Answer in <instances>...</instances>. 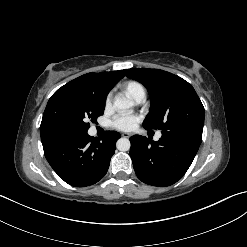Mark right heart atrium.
<instances>
[{
  "instance_id": "d8ad5b80",
  "label": "right heart atrium",
  "mask_w": 247,
  "mask_h": 247,
  "mask_svg": "<svg viewBox=\"0 0 247 247\" xmlns=\"http://www.w3.org/2000/svg\"><path fill=\"white\" fill-rule=\"evenodd\" d=\"M105 105H106V107H108L110 105V96H108L106 98Z\"/></svg>"
}]
</instances>
